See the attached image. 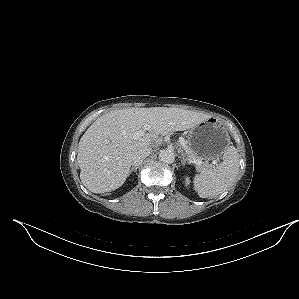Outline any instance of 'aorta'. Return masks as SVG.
<instances>
[{"label":"aorta","mask_w":299,"mask_h":299,"mask_svg":"<svg viewBox=\"0 0 299 299\" xmlns=\"http://www.w3.org/2000/svg\"><path fill=\"white\" fill-rule=\"evenodd\" d=\"M159 160L166 164H171L175 160V154L171 150H162L159 154Z\"/></svg>","instance_id":"aorta-1"}]
</instances>
